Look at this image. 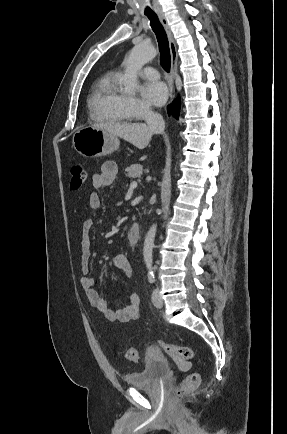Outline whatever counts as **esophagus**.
I'll return each mask as SVG.
<instances>
[{"label": "esophagus", "instance_id": "1", "mask_svg": "<svg viewBox=\"0 0 287 434\" xmlns=\"http://www.w3.org/2000/svg\"><path fill=\"white\" fill-rule=\"evenodd\" d=\"M157 15H158L159 20H160L161 24L163 25L166 33H167L168 40H169V47H170V54H171V83L173 84L175 73L177 71V61H178L176 44H175V41L173 38L171 28L168 24V21H167L165 15L162 12H158ZM172 100H173V96L171 97V101Z\"/></svg>", "mask_w": 287, "mask_h": 434}]
</instances>
